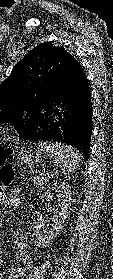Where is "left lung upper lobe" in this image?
<instances>
[{
	"label": "left lung upper lobe",
	"mask_w": 113,
	"mask_h": 279,
	"mask_svg": "<svg viewBox=\"0 0 113 279\" xmlns=\"http://www.w3.org/2000/svg\"><path fill=\"white\" fill-rule=\"evenodd\" d=\"M71 54L46 42L34 47L0 84V124L11 122L19 136L31 126L33 112Z\"/></svg>",
	"instance_id": "5c2ea615"
}]
</instances>
